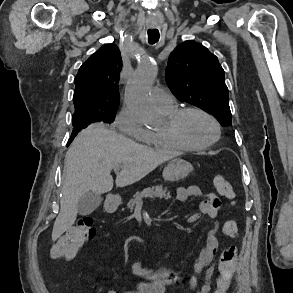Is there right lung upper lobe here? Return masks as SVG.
Listing matches in <instances>:
<instances>
[{
  "mask_svg": "<svg viewBox=\"0 0 293 293\" xmlns=\"http://www.w3.org/2000/svg\"><path fill=\"white\" fill-rule=\"evenodd\" d=\"M122 59L118 47L105 44L82 64L74 80L75 109L116 110L119 103L118 82Z\"/></svg>",
  "mask_w": 293,
  "mask_h": 293,
  "instance_id": "right-lung-upper-lobe-1",
  "label": "right lung upper lobe"
}]
</instances>
